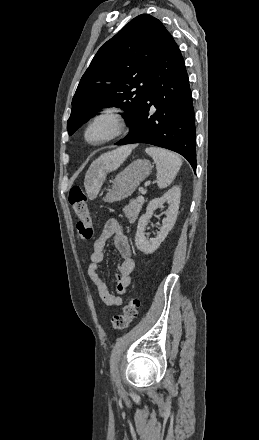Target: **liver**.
<instances>
[{"label":"liver","mask_w":259,"mask_h":440,"mask_svg":"<svg viewBox=\"0 0 259 440\" xmlns=\"http://www.w3.org/2000/svg\"><path fill=\"white\" fill-rule=\"evenodd\" d=\"M134 146L127 145L117 148L111 152L101 155L96 161L93 162L89 169L85 181L89 177L91 171V178L93 180V186L90 188L85 183L87 193H91V197H95L98 193L105 176L108 172L114 171L120 167V165L126 160V158L132 152Z\"/></svg>","instance_id":"6515ba94"}]
</instances>
